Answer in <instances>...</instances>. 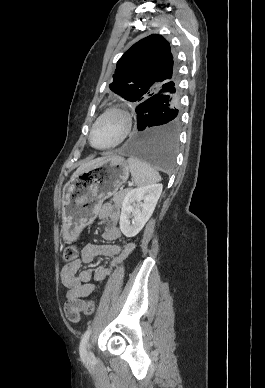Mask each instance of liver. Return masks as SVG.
<instances>
[{
	"instance_id": "obj_1",
	"label": "liver",
	"mask_w": 265,
	"mask_h": 388,
	"mask_svg": "<svg viewBox=\"0 0 265 388\" xmlns=\"http://www.w3.org/2000/svg\"><path fill=\"white\" fill-rule=\"evenodd\" d=\"M108 156H110V154H106L104 158H108ZM112 156H116V154H112ZM104 158H97V160H91V162H86V164H82V166H80V168H78V170L74 172V176H72V178H76L78 174H81V172H84V170H88V168H93V166H97V164H99L101 160H104Z\"/></svg>"
}]
</instances>
